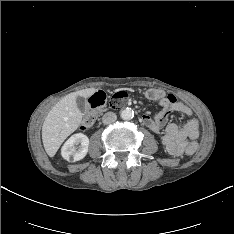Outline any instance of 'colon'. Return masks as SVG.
I'll return each mask as SVG.
<instances>
[{
	"instance_id": "colon-1",
	"label": "colon",
	"mask_w": 234,
	"mask_h": 234,
	"mask_svg": "<svg viewBox=\"0 0 234 234\" xmlns=\"http://www.w3.org/2000/svg\"><path fill=\"white\" fill-rule=\"evenodd\" d=\"M165 94L158 90H148L145 92V97L150 100H161ZM128 101V93L124 90L115 92L110 98H107L106 95L102 92H97L93 94L88 100L89 110L87 115L84 117L81 123V130H87L93 126L95 120L104 106H108L110 109L118 110L123 108ZM200 142L195 140L193 144H190L189 147L185 148L184 157L189 159L191 154L197 150Z\"/></svg>"
}]
</instances>
